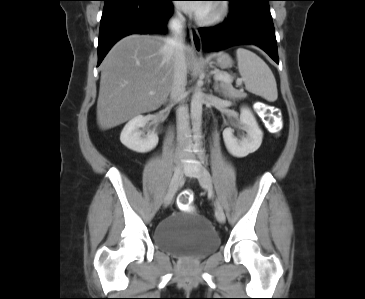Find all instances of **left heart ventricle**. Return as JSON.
Wrapping results in <instances>:
<instances>
[{
    "label": "left heart ventricle",
    "instance_id": "obj_1",
    "mask_svg": "<svg viewBox=\"0 0 365 299\" xmlns=\"http://www.w3.org/2000/svg\"><path fill=\"white\" fill-rule=\"evenodd\" d=\"M212 10H213L212 5H209V6H208V8H207V10L205 11V13H204L203 15H208V14H210V13L212 12Z\"/></svg>",
    "mask_w": 365,
    "mask_h": 299
}]
</instances>
